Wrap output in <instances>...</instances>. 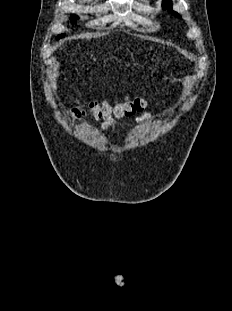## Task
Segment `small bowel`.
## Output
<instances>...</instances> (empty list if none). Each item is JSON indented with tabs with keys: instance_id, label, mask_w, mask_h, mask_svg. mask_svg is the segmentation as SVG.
I'll use <instances>...</instances> for the list:
<instances>
[{
	"instance_id": "c3829d8e",
	"label": "small bowel",
	"mask_w": 232,
	"mask_h": 311,
	"mask_svg": "<svg viewBox=\"0 0 232 311\" xmlns=\"http://www.w3.org/2000/svg\"><path fill=\"white\" fill-rule=\"evenodd\" d=\"M158 119L151 111H146L143 114H141L137 118V124L141 127L146 126L151 121H157ZM113 121H107L103 124V130L105 133H109L111 131V126L113 125ZM122 131L125 133L127 131L126 128H123Z\"/></svg>"
}]
</instances>
